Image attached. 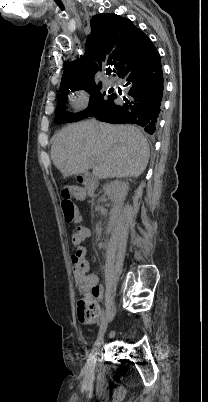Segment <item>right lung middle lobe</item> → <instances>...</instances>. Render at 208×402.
Returning a JSON list of instances; mask_svg holds the SVG:
<instances>
[{
	"mask_svg": "<svg viewBox=\"0 0 208 402\" xmlns=\"http://www.w3.org/2000/svg\"><path fill=\"white\" fill-rule=\"evenodd\" d=\"M101 86H102L101 83L99 84V86H96L95 82L92 81L82 84L80 86L60 91L61 95L58 99L55 121L57 123L74 122L85 119L89 116H94L96 112H100L102 110L110 108L114 100V94L106 96L105 92L101 93L100 92ZM78 89H84L88 91L89 94L91 95L89 106L80 113L73 114L65 112V106H64L65 94L68 93L70 90L75 91Z\"/></svg>",
	"mask_w": 208,
	"mask_h": 402,
	"instance_id": "1",
	"label": "right lung middle lobe"
}]
</instances>
